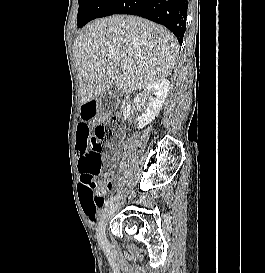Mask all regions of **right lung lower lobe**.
<instances>
[{
  "mask_svg": "<svg viewBox=\"0 0 265 273\" xmlns=\"http://www.w3.org/2000/svg\"><path fill=\"white\" fill-rule=\"evenodd\" d=\"M187 0H118L106 16L131 14L166 26L182 45L186 30Z\"/></svg>",
  "mask_w": 265,
  "mask_h": 273,
  "instance_id": "1",
  "label": "right lung lower lobe"
}]
</instances>
